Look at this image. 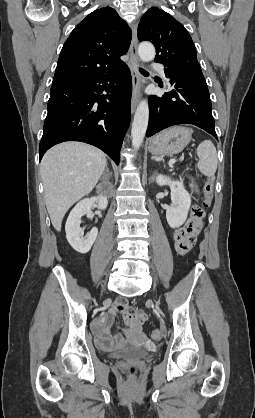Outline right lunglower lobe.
<instances>
[{"label": "right lung lower lobe", "instance_id": "98d812e1", "mask_svg": "<svg viewBox=\"0 0 255 418\" xmlns=\"http://www.w3.org/2000/svg\"><path fill=\"white\" fill-rule=\"evenodd\" d=\"M131 93L127 65L108 74L54 82L39 145L40 160L55 144L81 141L100 148L119 164L130 121Z\"/></svg>", "mask_w": 255, "mask_h": 418}]
</instances>
